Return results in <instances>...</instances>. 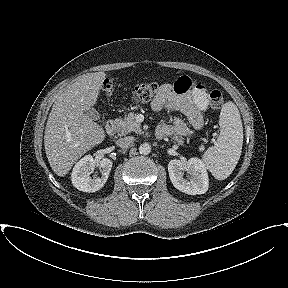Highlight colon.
Here are the masks:
<instances>
[{"mask_svg":"<svg viewBox=\"0 0 288 288\" xmlns=\"http://www.w3.org/2000/svg\"><path fill=\"white\" fill-rule=\"evenodd\" d=\"M161 86L156 83H145L134 86L130 91V97L134 102H148L160 91ZM115 89V82L108 78L102 86L104 95H111ZM223 104V95L219 90H213L209 93V106L212 109H218Z\"/></svg>","mask_w":288,"mask_h":288,"instance_id":"colon-1","label":"colon"}]
</instances>
